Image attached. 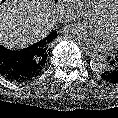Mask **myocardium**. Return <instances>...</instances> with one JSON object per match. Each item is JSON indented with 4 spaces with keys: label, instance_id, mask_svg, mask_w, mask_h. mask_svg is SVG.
Here are the masks:
<instances>
[{
    "label": "myocardium",
    "instance_id": "myocardium-1",
    "mask_svg": "<svg viewBox=\"0 0 118 118\" xmlns=\"http://www.w3.org/2000/svg\"><path fill=\"white\" fill-rule=\"evenodd\" d=\"M118 9V0L113 1L112 3L108 4L107 6L101 8V13L105 16H111L115 13ZM115 49H118V43L112 46Z\"/></svg>",
    "mask_w": 118,
    "mask_h": 118
}]
</instances>
